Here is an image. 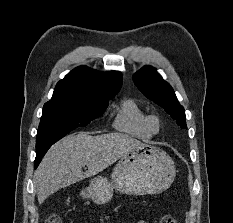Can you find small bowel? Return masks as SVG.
<instances>
[{
    "label": "small bowel",
    "mask_w": 233,
    "mask_h": 223,
    "mask_svg": "<svg viewBox=\"0 0 233 223\" xmlns=\"http://www.w3.org/2000/svg\"><path fill=\"white\" fill-rule=\"evenodd\" d=\"M138 223H146L144 220H139Z\"/></svg>",
    "instance_id": "obj_1"
}]
</instances>
